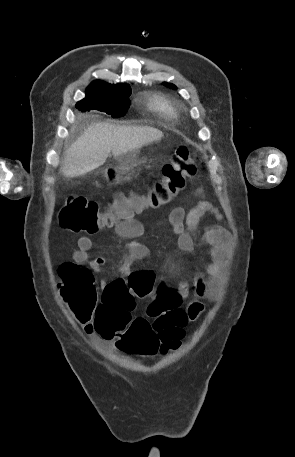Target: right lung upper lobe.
<instances>
[{"instance_id":"1","label":"right lung upper lobe","mask_w":295,"mask_h":457,"mask_svg":"<svg viewBox=\"0 0 295 457\" xmlns=\"http://www.w3.org/2000/svg\"><path fill=\"white\" fill-rule=\"evenodd\" d=\"M126 84L111 85L99 80L93 81L87 88L88 91H116L124 88H128Z\"/></svg>"}]
</instances>
